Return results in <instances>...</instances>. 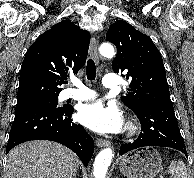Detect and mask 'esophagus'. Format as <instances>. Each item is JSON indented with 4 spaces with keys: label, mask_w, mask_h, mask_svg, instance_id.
Segmentation results:
<instances>
[{
    "label": "esophagus",
    "mask_w": 194,
    "mask_h": 178,
    "mask_svg": "<svg viewBox=\"0 0 194 178\" xmlns=\"http://www.w3.org/2000/svg\"><path fill=\"white\" fill-rule=\"evenodd\" d=\"M97 46L98 45H97V41H96L95 37H92L91 41H90L89 54L94 59V61L96 63L99 62ZM96 145L100 148L101 147H107V146H110V142L108 140H104V139H97L96 140Z\"/></svg>",
    "instance_id": "34e87169"
}]
</instances>
